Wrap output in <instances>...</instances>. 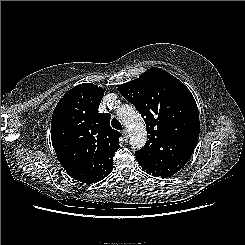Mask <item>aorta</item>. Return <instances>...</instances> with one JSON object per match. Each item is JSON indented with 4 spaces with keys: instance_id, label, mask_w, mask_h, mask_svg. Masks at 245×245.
<instances>
[{
    "instance_id": "aorta-1",
    "label": "aorta",
    "mask_w": 245,
    "mask_h": 245,
    "mask_svg": "<svg viewBox=\"0 0 245 245\" xmlns=\"http://www.w3.org/2000/svg\"><path fill=\"white\" fill-rule=\"evenodd\" d=\"M117 115L129 132L132 148L139 149L143 147L147 140V131L141 115L129 105L120 107Z\"/></svg>"
}]
</instances>
